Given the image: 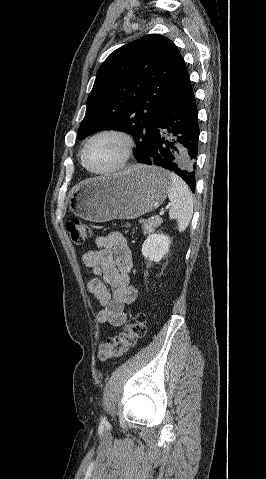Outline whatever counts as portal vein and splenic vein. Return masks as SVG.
Segmentation results:
<instances>
[{
  "instance_id": "portal-vein-and-splenic-vein-1",
  "label": "portal vein and splenic vein",
  "mask_w": 266,
  "mask_h": 479,
  "mask_svg": "<svg viewBox=\"0 0 266 479\" xmlns=\"http://www.w3.org/2000/svg\"><path fill=\"white\" fill-rule=\"evenodd\" d=\"M163 215H164V211L162 210V211L160 212V216H163Z\"/></svg>"
}]
</instances>
